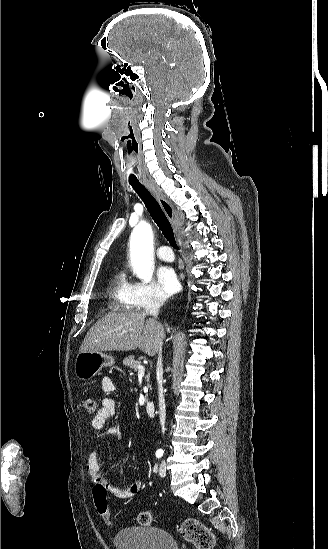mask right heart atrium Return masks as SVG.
<instances>
[{"label":"right heart atrium","mask_w":328,"mask_h":549,"mask_svg":"<svg viewBox=\"0 0 328 549\" xmlns=\"http://www.w3.org/2000/svg\"><path fill=\"white\" fill-rule=\"evenodd\" d=\"M142 303H163L164 297L153 281L135 284Z\"/></svg>","instance_id":"1"}]
</instances>
